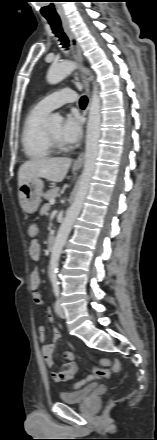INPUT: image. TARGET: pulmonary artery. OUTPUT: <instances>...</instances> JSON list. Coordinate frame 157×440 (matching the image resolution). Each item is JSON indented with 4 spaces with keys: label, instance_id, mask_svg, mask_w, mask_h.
<instances>
[{
    "label": "pulmonary artery",
    "instance_id": "pulmonary-artery-1",
    "mask_svg": "<svg viewBox=\"0 0 157 440\" xmlns=\"http://www.w3.org/2000/svg\"><path fill=\"white\" fill-rule=\"evenodd\" d=\"M77 95L74 91L69 89H63L59 91H55L42 100H40L36 108L44 113H50L52 110L61 107L66 103H72L76 101Z\"/></svg>",
    "mask_w": 157,
    "mask_h": 440
}]
</instances>
